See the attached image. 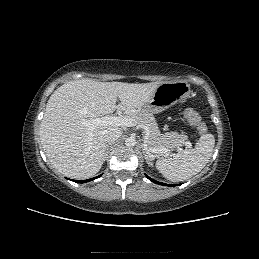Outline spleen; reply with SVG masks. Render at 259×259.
Masks as SVG:
<instances>
[{
  "mask_svg": "<svg viewBox=\"0 0 259 259\" xmlns=\"http://www.w3.org/2000/svg\"><path fill=\"white\" fill-rule=\"evenodd\" d=\"M214 145V136L211 133L203 134L194 148L181 150L173 157L158 160L156 168L169 181L187 180L206 166Z\"/></svg>",
  "mask_w": 259,
  "mask_h": 259,
  "instance_id": "obj_1",
  "label": "spleen"
}]
</instances>
